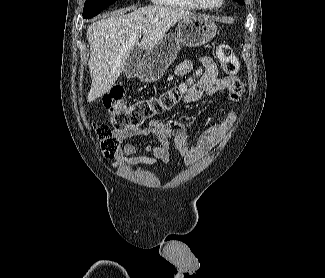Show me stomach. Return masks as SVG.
Returning a JSON list of instances; mask_svg holds the SVG:
<instances>
[{
	"label": "stomach",
	"mask_w": 325,
	"mask_h": 278,
	"mask_svg": "<svg viewBox=\"0 0 325 278\" xmlns=\"http://www.w3.org/2000/svg\"><path fill=\"white\" fill-rule=\"evenodd\" d=\"M217 32L215 23L205 16L182 19L177 34H167L163 39L146 50L139 69V79L153 82L160 79L175 60L180 47H198L211 41Z\"/></svg>",
	"instance_id": "stomach-1"
}]
</instances>
